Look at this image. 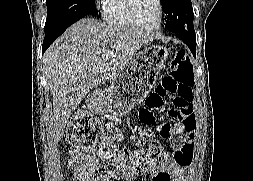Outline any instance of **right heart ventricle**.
<instances>
[{"label": "right heart ventricle", "instance_id": "1", "mask_svg": "<svg viewBox=\"0 0 253 181\" xmlns=\"http://www.w3.org/2000/svg\"><path fill=\"white\" fill-rule=\"evenodd\" d=\"M102 12L104 20L111 25L117 27L133 26L126 14L125 0H105Z\"/></svg>", "mask_w": 253, "mask_h": 181}]
</instances>
